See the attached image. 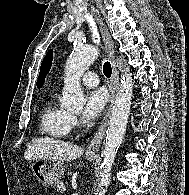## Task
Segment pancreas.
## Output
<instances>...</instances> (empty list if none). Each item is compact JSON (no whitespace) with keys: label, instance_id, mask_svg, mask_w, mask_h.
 <instances>
[{"label":"pancreas","instance_id":"1","mask_svg":"<svg viewBox=\"0 0 189 195\" xmlns=\"http://www.w3.org/2000/svg\"><path fill=\"white\" fill-rule=\"evenodd\" d=\"M63 188H65V184L62 181L55 184V190L58 192V195L62 193Z\"/></svg>","mask_w":189,"mask_h":195}]
</instances>
